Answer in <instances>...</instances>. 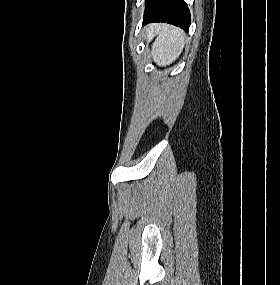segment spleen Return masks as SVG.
Wrapping results in <instances>:
<instances>
[{
	"mask_svg": "<svg viewBox=\"0 0 280 285\" xmlns=\"http://www.w3.org/2000/svg\"><path fill=\"white\" fill-rule=\"evenodd\" d=\"M157 34L152 45L153 60L159 66H166L174 62L181 54L185 44V34L177 28L160 24L151 27Z\"/></svg>",
	"mask_w": 280,
	"mask_h": 285,
	"instance_id": "3e777b00",
	"label": "spleen"
}]
</instances>
